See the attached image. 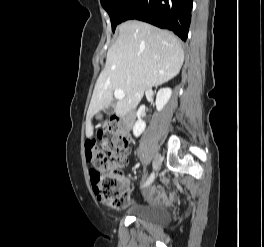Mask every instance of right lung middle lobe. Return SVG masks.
I'll list each match as a JSON object with an SVG mask.
<instances>
[{"label": "right lung middle lobe", "instance_id": "1", "mask_svg": "<svg viewBox=\"0 0 264 247\" xmlns=\"http://www.w3.org/2000/svg\"><path fill=\"white\" fill-rule=\"evenodd\" d=\"M111 19L112 31L123 21V17L134 0H100Z\"/></svg>", "mask_w": 264, "mask_h": 247}]
</instances>
